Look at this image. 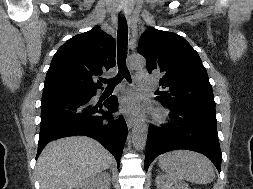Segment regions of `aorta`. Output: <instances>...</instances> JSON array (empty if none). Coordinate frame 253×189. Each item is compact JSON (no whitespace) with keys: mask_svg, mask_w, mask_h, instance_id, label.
Here are the masks:
<instances>
[{"mask_svg":"<svg viewBox=\"0 0 253 189\" xmlns=\"http://www.w3.org/2000/svg\"><path fill=\"white\" fill-rule=\"evenodd\" d=\"M130 66L132 68H142L145 60L141 56H131ZM148 128L143 119L139 120L132 131V142L137 150H143L147 142Z\"/></svg>","mask_w":253,"mask_h":189,"instance_id":"aorta-1","label":"aorta"}]
</instances>
